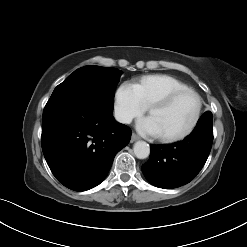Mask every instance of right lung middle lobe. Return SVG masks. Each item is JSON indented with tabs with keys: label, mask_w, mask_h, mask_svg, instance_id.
<instances>
[{
	"label": "right lung middle lobe",
	"mask_w": 247,
	"mask_h": 247,
	"mask_svg": "<svg viewBox=\"0 0 247 247\" xmlns=\"http://www.w3.org/2000/svg\"><path fill=\"white\" fill-rule=\"evenodd\" d=\"M121 75L122 71L116 68L84 66L75 70L59 84L49 100L69 96H86L101 98L113 106V92Z\"/></svg>",
	"instance_id": "obj_1"
}]
</instances>
